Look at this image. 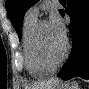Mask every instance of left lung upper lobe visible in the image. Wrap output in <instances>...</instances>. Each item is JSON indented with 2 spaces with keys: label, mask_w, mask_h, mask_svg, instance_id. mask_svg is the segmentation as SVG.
<instances>
[{
  "label": "left lung upper lobe",
  "mask_w": 89,
  "mask_h": 89,
  "mask_svg": "<svg viewBox=\"0 0 89 89\" xmlns=\"http://www.w3.org/2000/svg\"><path fill=\"white\" fill-rule=\"evenodd\" d=\"M36 2L37 0H6L7 14L19 38L21 37V28L25 12Z\"/></svg>",
  "instance_id": "1"
}]
</instances>
